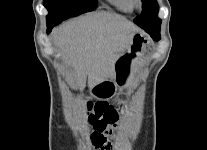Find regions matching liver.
Segmentation results:
<instances>
[{
    "instance_id": "1",
    "label": "liver",
    "mask_w": 207,
    "mask_h": 150,
    "mask_svg": "<svg viewBox=\"0 0 207 150\" xmlns=\"http://www.w3.org/2000/svg\"><path fill=\"white\" fill-rule=\"evenodd\" d=\"M139 28L126 18L105 11L76 18L53 30L56 47L73 68L76 88L82 90L85 77L91 88L114 77V64L129 49Z\"/></svg>"
}]
</instances>
